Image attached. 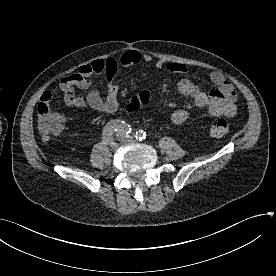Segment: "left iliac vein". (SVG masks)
I'll list each match as a JSON object with an SVG mask.
<instances>
[{"label": "left iliac vein", "instance_id": "left-iliac-vein-1", "mask_svg": "<svg viewBox=\"0 0 276 276\" xmlns=\"http://www.w3.org/2000/svg\"><path fill=\"white\" fill-rule=\"evenodd\" d=\"M117 136H118V140L122 143H127V142L131 143L135 141L134 138L131 136H125L123 134H118Z\"/></svg>", "mask_w": 276, "mask_h": 276}]
</instances>
